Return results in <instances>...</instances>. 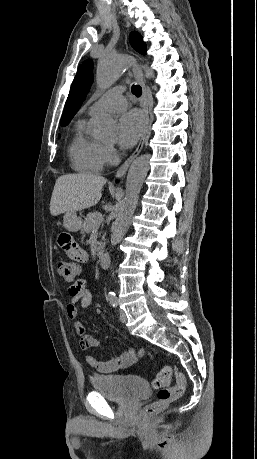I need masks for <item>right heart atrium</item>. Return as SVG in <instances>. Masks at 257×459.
Returning a JSON list of instances; mask_svg holds the SVG:
<instances>
[{"label":"right heart atrium","mask_w":257,"mask_h":459,"mask_svg":"<svg viewBox=\"0 0 257 459\" xmlns=\"http://www.w3.org/2000/svg\"><path fill=\"white\" fill-rule=\"evenodd\" d=\"M116 152L113 146L103 145L102 146V160L104 164H112L115 161Z\"/></svg>","instance_id":"right-heart-atrium-1"}]
</instances>
